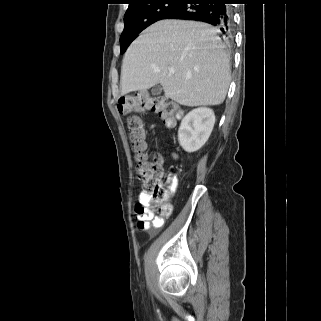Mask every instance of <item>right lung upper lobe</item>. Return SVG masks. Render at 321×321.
I'll use <instances>...</instances> for the list:
<instances>
[{"label":"right lung upper lobe","instance_id":"1","mask_svg":"<svg viewBox=\"0 0 321 321\" xmlns=\"http://www.w3.org/2000/svg\"><path fill=\"white\" fill-rule=\"evenodd\" d=\"M149 1H152V0H129V7H128L127 11L129 9H131L132 7H137V6L143 5Z\"/></svg>","mask_w":321,"mask_h":321}]
</instances>
